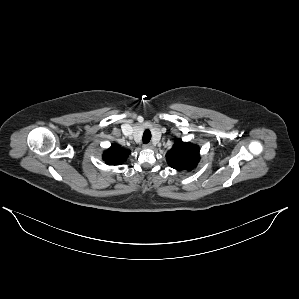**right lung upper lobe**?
<instances>
[{
    "mask_svg": "<svg viewBox=\"0 0 299 299\" xmlns=\"http://www.w3.org/2000/svg\"><path fill=\"white\" fill-rule=\"evenodd\" d=\"M130 152V150H126L116 144H112L111 147L103 154V160L109 165H118L125 162Z\"/></svg>",
    "mask_w": 299,
    "mask_h": 299,
    "instance_id": "right-lung-upper-lobe-1",
    "label": "right lung upper lobe"
}]
</instances>
